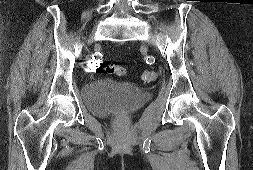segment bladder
<instances>
[{
    "label": "bladder",
    "instance_id": "31cf9c89",
    "mask_svg": "<svg viewBox=\"0 0 253 170\" xmlns=\"http://www.w3.org/2000/svg\"><path fill=\"white\" fill-rule=\"evenodd\" d=\"M83 98L90 111L98 116H106L115 108L133 112L151 96L146 90L136 86L99 79L84 86Z\"/></svg>",
    "mask_w": 253,
    "mask_h": 170
}]
</instances>
